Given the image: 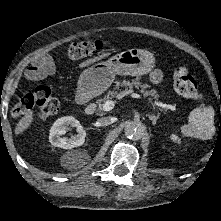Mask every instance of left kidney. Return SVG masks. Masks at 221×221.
Here are the masks:
<instances>
[{"mask_svg": "<svg viewBox=\"0 0 221 221\" xmlns=\"http://www.w3.org/2000/svg\"><path fill=\"white\" fill-rule=\"evenodd\" d=\"M170 139H171L173 142H176V143H178V144L181 143V139H180L176 134H172V135L170 136Z\"/></svg>", "mask_w": 221, "mask_h": 221, "instance_id": "1", "label": "left kidney"}]
</instances>
